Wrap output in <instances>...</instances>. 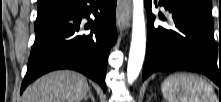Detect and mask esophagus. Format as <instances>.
Here are the masks:
<instances>
[{"instance_id":"esophagus-1","label":"esophagus","mask_w":221,"mask_h":102,"mask_svg":"<svg viewBox=\"0 0 221 102\" xmlns=\"http://www.w3.org/2000/svg\"><path fill=\"white\" fill-rule=\"evenodd\" d=\"M116 17H117V26L120 31L129 27L130 18H131L130 0H118Z\"/></svg>"}]
</instances>
